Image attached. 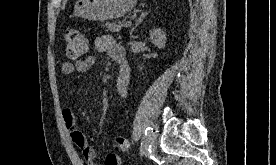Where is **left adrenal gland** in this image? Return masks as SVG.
I'll return each mask as SVG.
<instances>
[{
	"instance_id": "a2214340",
	"label": "left adrenal gland",
	"mask_w": 276,
	"mask_h": 165,
	"mask_svg": "<svg viewBox=\"0 0 276 165\" xmlns=\"http://www.w3.org/2000/svg\"><path fill=\"white\" fill-rule=\"evenodd\" d=\"M148 15V12L141 13L140 17L136 21L135 25L132 27L130 34L132 35L133 31L138 27V25L143 21V19Z\"/></svg>"
}]
</instances>
